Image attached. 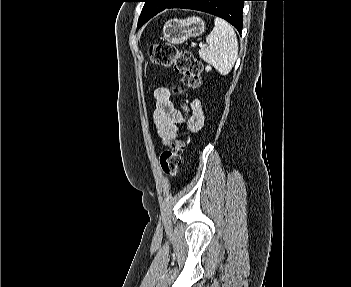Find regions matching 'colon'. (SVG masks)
Instances as JSON below:
<instances>
[{
    "label": "colon",
    "mask_w": 351,
    "mask_h": 287,
    "mask_svg": "<svg viewBox=\"0 0 351 287\" xmlns=\"http://www.w3.org/2000/svg\"><path fill=\"white\" fill-rule=\"evenodd\" d=\"M151 61L159 66L173 67L181 74V84L174 88V92L183 94L189 90L197 89L200 85L201 63L186 50H179L170 44L158 43L149 48ZM186 149L182 139H176L169 149L160 156V165L164 173L175 177L181 165V155Z\"/></svg>",
    "instance_id": "5ec220e1"
}]
</instances>
